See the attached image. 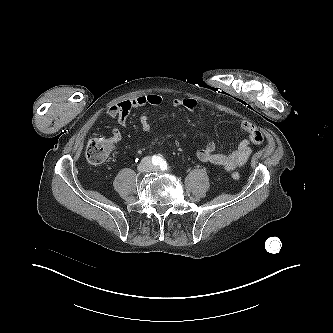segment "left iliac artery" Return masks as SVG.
<instances>
[{"mask_svg": "<svg viewBox=\"0 0 333 333\" xmlns=\"http://www.w3.org/2000/svg\"><path fill=\"white\" fill-rule=\"evenodd\" d=\"M167 168H168V165H167L166 161L162 160L160 163V169L164 171V170H167Z\"/></svg>", "mask_w": 333, "mask_h": 333, "instance_id": "1", "label": "left iliac artery"}]
</instances>
